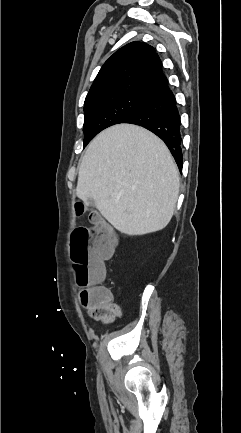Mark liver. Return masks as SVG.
Segmentation results:
<instances>
[{"mask_svg": "<svg viewBox=\"0 0 241 433\" xmlns=\"http://www.w3.org/2000/svg\"><path fill=\"white\" fill-rule=\"evenodd\" d=\"M76 195L118 231L144 235L165 228L176 208L179 171L150 131L118 124L99 133L79 164Z\"/></svg>", "mask_w": 241, "mask_h": 433, "instance_id": "liver-1", "label": "liver"}]
</instances>
